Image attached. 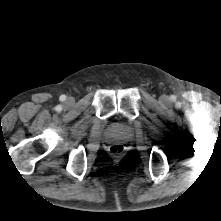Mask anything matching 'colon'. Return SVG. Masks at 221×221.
Returning a JSON list of instances; mask_svg holds the SVG:
<instances>
[{"instance_id": "obj_1", "label": "colon", "mask_w": 221, "mask_h": 221, "mask_svg": "<svg viewBox=\"0 0 221 221\" xmlns=\"http://www.w3.org/2000/svg\"><path fill=\"white\" fill-rule=\"evenodd\" d=\"M109 150H110L111 154L119 155L124 151V147L121 144H113Z\"/></svg>"}]
</instances>
